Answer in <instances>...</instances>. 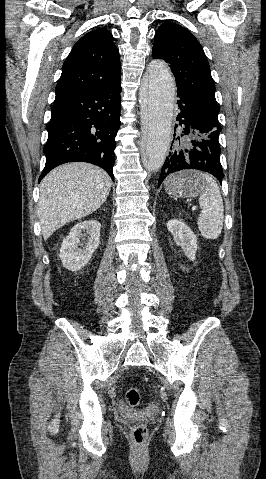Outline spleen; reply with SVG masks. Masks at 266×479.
<instances>
[{"label": "spleen", "mask_w": 266, "mask_h": 479, "mask_svg": "<svg viewBox=\"0 0 266 479\" xmlns=\"http://www.w3.org/2000/svg\"><path fill=\"white\" fill-rule=\"evenodd\" d=\"M200 175L205 180V187L199 197L202 214L198 217L197 224L205 239L214 240L220 236L223 228V200L216 181L208 174Z\"/></svg>", "instance_id": "obj_1"}]
</instances>
